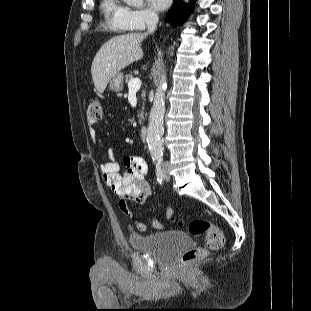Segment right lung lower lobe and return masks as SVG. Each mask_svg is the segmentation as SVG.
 I'll list each match as a JSON object with an SVG mask.
<instances>
[{
  "label": "right lung lower lobe",
  "instance_id": "1",
  "mask_svg": "<svg viewBox=\"0 0 311 311\" xmlns=\"http://www.w3.org/2000/svg\"><path fill=\"white\" fill-rule=\"evenodd\" d=\"M193 2L194 0H191V3L186 4L182 0H174L173 6L169 11L166 20L172 21L173 26L182 24L186 15H188L193 9Z\"/></svg>",
  "mask_w": 311,
  "mask_h": 311
}]
</instances>
